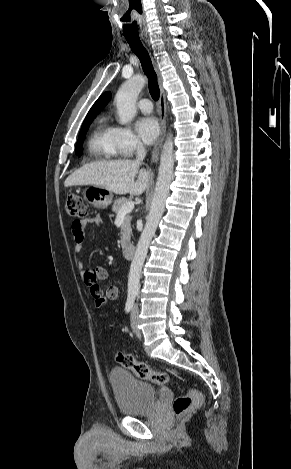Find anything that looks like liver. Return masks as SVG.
Listing matches in <instances>:
<instances>
[{"label": "liver", "mask_w": 291, "mask_h": 469, "mask_svg": "<svg viewBox=\"0 0 291 469\" xmlns=\"http://www.w3.org/2000/svg\"><path fill=\"white\" fill-rule=\"evenodd\" d=\"M149 179V171L140 169V162L122 159L86 164L68 176L64 185H95L116 194L141 195Z\"/></svg>", "instance_id": "1"}]
</instances>
